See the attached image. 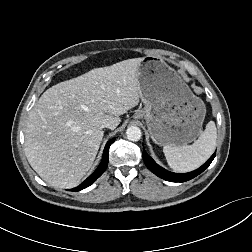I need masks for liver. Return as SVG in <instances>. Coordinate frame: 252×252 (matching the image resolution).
Segmentation results:
<instances>
[{"label":"liver","mask_w":252,"mask_h":252,"mask_svg":"<svg viewBox=\"0 0 252 252\" xmlns=\"http://www.w3.org/2000/svg\"><path fill=\"white\" fill-rule=\"evenodd\" d=\"M142 58L95 68L47 89L29 113L25 154L47 183L73 188L90 170L109 121L139 103L138 66ZM112 129V130H113Z\"/></svg>","instance_id":"1"}]
</instances>
